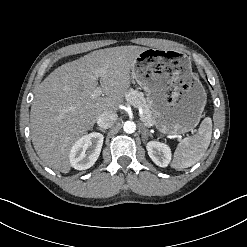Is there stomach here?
<instances>
[{"label":"stomach","instance_id":"1","mask_svg":"<svg viewBox=\"0 0 247 247\" xmlns=\"http://www.w3.org/2000/svg\"><path fill=\"white\" fill-rule=\"evenodd\" d=\"M131 71L147 93L154 125L162 136L184 134L198 125L207 95L189 58L173 49H146Z\"/></svg>","mask_w":247,"mask_h":247}]
</instances>
